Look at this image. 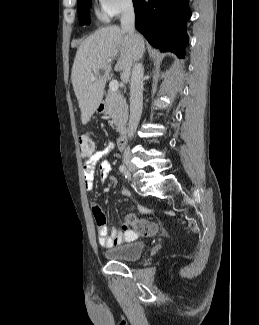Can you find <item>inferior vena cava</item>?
<instances>
[{
	"label": "inferior vena cava",
	"mask_w": 259,
	"mask_h": 325,
	"mask_svg": "<svg viewBox=\"0 0 259 325\" xmlns=\"http://www.w3.org/2000/svg\"><path fill=\"white\" fill-rule=\"evenodd\" d=\"M135 14L131 0H127L121 13V29L132 38L136 37L134 26ZM143 76L144 68L142 63L135 62L132 69L130 84V117L128 124V137L131 139L137 129L142 114L143 105Z\"/></svg>",
	"instance_id": "1"
}]
</instances>
